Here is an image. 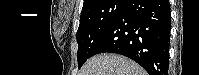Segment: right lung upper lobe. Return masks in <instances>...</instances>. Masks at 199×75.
<instances>
[{"label":"right lung upper lobe","instance_id":"1","mask_svg":"<svg viewBox=\"0 0 199 75\" xmlns=\"http://www.w3.org/2000/svg\"><path fill=\"white\" fill-rule=\"evenodd\" d=\"M103 1H105V0H84L82 9L98 5V4L102 3Z\"/></svg>","mask_w":199,"mask_h":75}]
</instances>
